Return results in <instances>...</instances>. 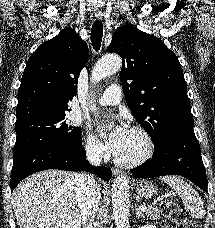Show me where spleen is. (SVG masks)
<instances>
[{
    "instance_id": "obj_1",
    "label": "spleen",
    "mask_w": 215,
    "mask_h": 228,
    "mask_svg": "<svg viewBox=\"0 0 215 228\" xmlns=\"http://www.w3.org/2000/svg\"><path fill=\"white\" fill-rule=\"evenodd\" d=\"M159 180H163L165 184L171 186L174 192H177L192 218H203L205 216L203 202L188 182H184L180 176H160Z\"/></svg>"
}]
</instances>
